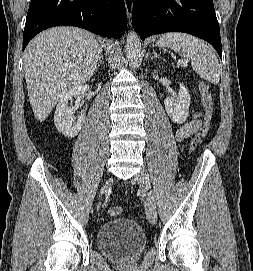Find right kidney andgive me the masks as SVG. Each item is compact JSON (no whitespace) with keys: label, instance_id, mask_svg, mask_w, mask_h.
I'll return each mask as SVG.
<instances>
[{"label":"right kidney","instance_id":"1","mask_svg":"<svg viewBox=\"0 0 253 271\" xmlns=\"http://www.w3.org/2000/svg\"><path fill=\"white\" fill-rule=\"evenodd\" d=\"M88 89V85L74 87L70 89L57 104L54 114V123L57 130L65 137L72 138L76 136L86 121L85 113H81L76 121L74 112L77 108V104L70 107L68 103L73 98L77 99L84 95Z\"/></svg>","mask_w":253,"mask_h":271}]
</instances>
